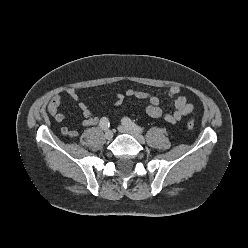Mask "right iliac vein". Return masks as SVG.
<instances>
[{
    "instance_id": "right-iliac-vein-1",
    "label": "right iliac vein",
    "mask_w": 248,
    "mask_h": 248,
    "mask_svg": "<svg viewBox=\"0 0 248 248\" xmlns=\"http://www.w3.org/2000/svg\"><path fill=\"white\" fill-rule=\"evenodd\" d=\"M113 136H114V133H113L112 130H108V131L105 133V137H106V139H108V140H111V139L113 138Z\"/></svg>"
}]
</instances>
